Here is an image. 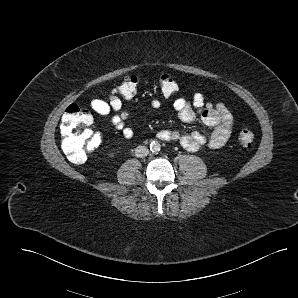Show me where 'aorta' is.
Instances as JSON below:
<instances>
[{
	"instance_id": "762f6f07",
	"label": "aorta",
	"mask_w": 298,
	"mask_h": 298,
	"mask_svg": "<svg viewBox=\"0 0 298 298\" xmlns=\"http://www.w3.org/2000/svg\"><path fill=\"white\" fill-rule=\"evenodd\" d=\"M149 148H150L151 152L157 153L160 151L161 145L158 141H152L149 145Z\"/></svg>"
}]
</instances>
